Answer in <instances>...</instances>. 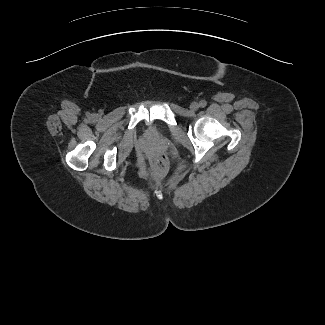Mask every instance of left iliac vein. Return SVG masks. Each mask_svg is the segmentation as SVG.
<instances>
[{
  "label": "left iliac vein",
  "instance_id": "4c4485c4",
  "mask_svg": "<svg viewBox=\"0 0 325 325\" xmlns=\"http://www.w3.org/2000/svg\"><path fill=\"white\" fill-rule=\"evenodd\" d=\"M198 108H199V104L198 103H196V102L191 103L190 109L192 111H196Z\"/></svg>",
  "mask_w": 325,
  "mask_h": 325
}]
</instances>
